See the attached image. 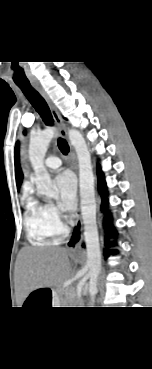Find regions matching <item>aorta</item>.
<instances>
[{
  "instance_id": "762f6f07",
  "label": "aorta",
  "mask_w": 152,
  "mask_h": 369,
  "mask_svg": "<svg viewBox=\"0 0 152 369\" xmlns=\"http://www.w3.org/2000/svg\"><path fill=\"white\" fill-rule=\"evenodd\" d=\"M55 130L46 128L41 133L30 138L29 158L35 172L37 192L49 198H54L57 191L50 175L44 166V158ZM69 140L74 147L79 164V187L81 198V215L84 224V238L89 268L90 304H94L98 292V277L101 270V250L96 221L95 178L91 164V154L80 131L68 130Z\"/></svg>"
}]
</instances>
